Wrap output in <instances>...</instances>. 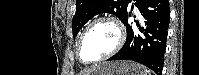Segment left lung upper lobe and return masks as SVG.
<instances>
[{"mask_svg":"<svg viewBox=\"0 0 199 75\" xmlns=\"http://www.w3.org/2000/svg\"><path fill=\"white\" fill-rule=\"evenodd\" d=\"M129 3L130 0H76V13L72 21L73 37L85 23L99 13H112L122 21Z\"/></svg>","mask_w":199,"mask_h":75,"instance_id":"left-lung-upper-lobe-1","label":"left lung upper lobe"}]
</instances>
